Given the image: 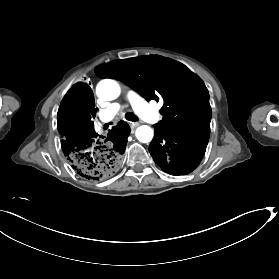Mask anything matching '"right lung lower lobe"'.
Returning a JSON list of instances; mask_svg holds the SVG:
<instances>
[{
    "instance_id": "obj_1",
    "label": "right lung lower lobe",
    "mask_w": 279,
    "mask_h": 279,
    "mask_svg": "<svg viewBox=\"0 0 279 279\" xmlns=\"http://www.w3.org/2000/svg\"><path fill=\"white\" fill-rule=\"evenodd\" d=\"M96 111L91 88L79 82L72 86L61 102L57 128L64 155L76 173L86 179L106 180L120 167L129 127L120 121L107 137L99 136L92 122Z\"/></svg>"
}]
</instances>
